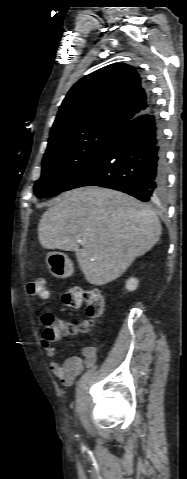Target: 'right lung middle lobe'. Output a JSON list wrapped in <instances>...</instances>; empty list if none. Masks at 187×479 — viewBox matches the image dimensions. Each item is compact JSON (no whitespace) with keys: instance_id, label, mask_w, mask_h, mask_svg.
Returning a JSON list of instances; mask_svg holds the SVG:
<instances>
[{"instance_id":"dd1d6c3e","label":"right lung middle lobe","mask_w":187,"mask_h":479,"mask_svg":"<svg viewBox=\"0 0 187 479\" xmlns=\"http://www.w3.org/2000/svg\"><path fill=\"white\" fill-rule=\"evenodd\" d=\"M110 125H91L66 131L48 141L42 175L34 186L39 198L53 197L98 158L119 135Z\"/></svg>"}]
</instances>
